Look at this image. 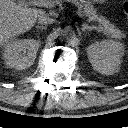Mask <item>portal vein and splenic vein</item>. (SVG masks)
<instances>
[{
    "mask_svg": "<svg viewBox=\"0 0 128 128\" xmlns=\"http://www.w3.org/2000/svg\"><path fill=\"white\" fill-rule=\"evenodd\" d=\"M20 1V0H19ZM69 3H73L76 5L79 10H80V5L76 0H66ZM21 2H25V0H21ZM58 4L57 0H29V5H34V6H41V7H49L52 8ZM79 16L81 17L82 15L80 14V11H78Z\"/></svg>",
    "mask_w": 128,
    "mask_h": 128,
    "instance_id": "1",
    "label": "portal vein and splenic vein"
}]
</instances>
